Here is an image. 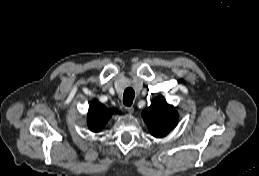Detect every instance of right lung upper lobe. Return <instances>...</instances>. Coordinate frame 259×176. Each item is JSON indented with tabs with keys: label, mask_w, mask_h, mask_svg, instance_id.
<instances>
[{
	"label": "right lung upper lobe",
	"mask_w": 259,
	"mask_h": 176,
	"mask_svg": "<svg viewBox=\"0 0 259 176\" xmlns=\"http://www.w3.org/2000/svg\"><path fill=\"white\" fill-rule=\"evenodd\" d=\"M117 110H111L94 101L88 111V127L93 132H99Z\"/></svg>",
	"instance_id": "obj_1"
}]
</instances>
